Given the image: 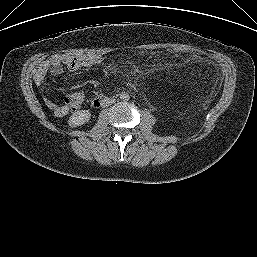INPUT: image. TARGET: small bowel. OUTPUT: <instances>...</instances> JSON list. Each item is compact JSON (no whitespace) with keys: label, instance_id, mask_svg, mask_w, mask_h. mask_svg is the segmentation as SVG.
<instances>
[{"label":"small bowel","instance_id":"obj_1","mask_svg":"<svg viewBox=\"0 0 257 257\" xmlns=\"http://www.w3.org/2000/svg\"><path fill=\"white\" fill-rule=\"evenodd\" d=\"M103 61V56L92 53L78 55H55L40 63L34 72V81L37 86L42 87L48 73L53 76L60 75L63 72L64 66L71 71H76L81 68L99 66L103 63ZM44 101L47 107L53 111L55 116L63 117L68 113V108L66 106L58 105L48 97H45Z\"/></svg>","mask_w":257,"mask_h":257}]
</instances>
